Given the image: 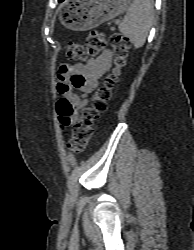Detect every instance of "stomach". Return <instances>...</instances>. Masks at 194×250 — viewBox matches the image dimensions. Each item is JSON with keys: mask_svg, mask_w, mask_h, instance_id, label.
Here are the masks:
<instances>
[{"mask_svg": "<svg viewBox=\"0 0 194 250\" xmlns=\"http://www.w3.org/2000/svg\"><path fill=\"white\" fill-rule=\"evenodd\" d=\"M131 0H66L61 23L75 31L94 28L123 13Z\"/></svg>", "mask_w": 194, "mask_h": 250, "instance_id": "0dacf381", "label": "stomach"}]
</instances>
